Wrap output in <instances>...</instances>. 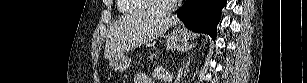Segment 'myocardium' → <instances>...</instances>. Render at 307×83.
Returning <instances> with one entry per match:
<instances>
[{"label":"myocardium","instance_id":"f54148a6","mask_svg":"<svg viewBox=\"0 0 307 83\" xmlns=\"http://www.w3.org/2000/svg\"><path fill=\"white\" fill-rule=\"evenodd\" d=\"M153 7H155L156 11L158 14H169L173 9L176 8V0H172L169 3H167L166 5H161L159 3V0H150L148 1Z\"/></svg>","mask_w":307,"mask_h":83}]
</instances>
